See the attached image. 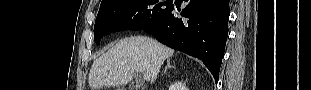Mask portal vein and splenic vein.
<instances>
[{"instance_id": "portal-vein-and-splenic-vein-1", "label": "portal vein and splenic vein", "mask_w": 311, "mask_h": 90, "mask_svg": "<svg viewBox=\"0 0 311 90\" xmlns=\"http://www.w3.org/2000/svg\"><path fill=\"white\" fill-rule=\"evenodd\" d=\"M150 78H151L150 74H146V73L143 74V79H144L145 81H149Z\"/></svg>"}]
</instances>
